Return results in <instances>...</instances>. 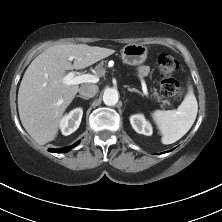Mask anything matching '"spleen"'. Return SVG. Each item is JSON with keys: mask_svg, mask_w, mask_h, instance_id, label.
Returning <instances> with one entry per match:
<instances>
[{"mask_svg": "<svg viewBox=\"0 0 222 222\" xmlns=\"http://www.w3.org/2000/svg\"><path fill=\"white\" fill-rule=\"evenodd\" d=\"M197 111V100L190 84L184 100L176 110H155L152 117L162 135L161 142L168 145L181 139L192 127Z\"/></svg>", "mask_w": 222, "mask_h": 222, "instance_id": "3e777b00", "label": "spleen"}]
</instances>
